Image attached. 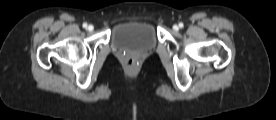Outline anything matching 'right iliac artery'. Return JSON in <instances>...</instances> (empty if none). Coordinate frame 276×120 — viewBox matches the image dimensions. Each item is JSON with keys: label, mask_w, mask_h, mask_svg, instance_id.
<instances>
[{"label": "right iliac artery", "mask_w": 276, "mask_h": 120, "mask_svg": "<svg viewBox=\"0 0 276 120\" xmlns=\"http://www.w3.org/2000/svg\"><path fill=\"white\" fill-rule=\"evenodd\" d=\"M83 27H84V28H87V23H83Z\"/></svg>", "instance_id": "right-iliac-artery-1"}]
</instances>
